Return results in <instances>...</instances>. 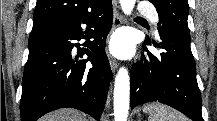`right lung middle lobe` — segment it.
<instances>
[{
  "mask_svg": "<svg viewBox=\"0 0 217 121\" xmlns=\"http://www.w3.org/2000/svg\"><path fill=\"white\" fill-rule=\"evenodd\" d=\"M52 23H54V22H42V23L33 24V29L41 27V26H45L48 24H52Z\"/></svg>",
  "mask_w": 217,
  "mask_h": 121,
  "instance_id": "1",
  "label": "right lung middle lobe"
}]
</instances>
